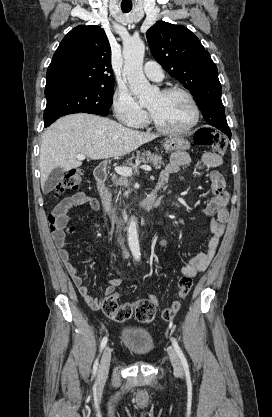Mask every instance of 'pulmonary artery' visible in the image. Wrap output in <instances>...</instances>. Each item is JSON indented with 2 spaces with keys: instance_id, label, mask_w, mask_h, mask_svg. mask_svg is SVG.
<instances>
[{
  "instance_id": "obj_1",
  "label": "pulmonary artery",
  "mask_w": 272,
  "mask_h": 417,
  "mask_svg": "<svg viewBox=\"0 0 272 417\" xmlns=\"http://www.w3.org/2000/svg\"><path fill=\"white\" fill-rule=\"evenodd\" d=\"M146 77L152 81L160 82L164 78L161 66L155 61H148L144 66Z\"/></svg>"
}]
</instances>
